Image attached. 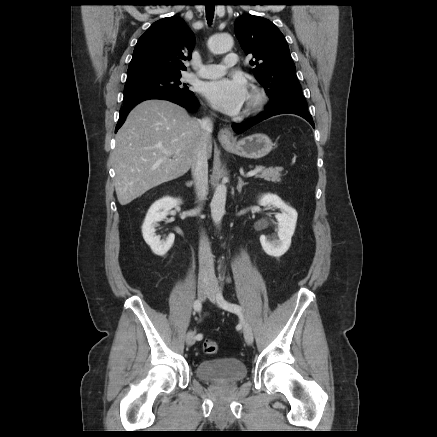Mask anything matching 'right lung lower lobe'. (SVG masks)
I'll list each match as a JSON object with an SVG mask.
<instances>
[{"label":"right lung lower lobe","instance_id":"obj_1","mask_svg":"<svg viewBox=\"0 0 437 437\" xmlns=\"http://www.w3.org/2000/svg\"><path fill=\"white\" fill-rule=\"evenodd\" d=\"M149 99H164L171 102H174L190 111H195L199 105L197 99L195 98L194 94L190 95H180V94H159V95H152L148 97H144L141 99H137L135 101L126 103L123 105V107L120 109V115L119 120L117 123V126L115 128V132L118 131V129L123 125L128 113L131 111V109L136 106L138 103L149 100Z\"/></svg>","mask_w":437,"mask_h":437}]
</instances>
